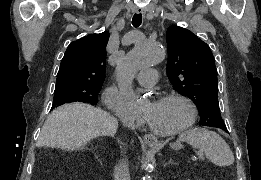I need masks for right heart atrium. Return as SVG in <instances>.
<instances>
[{"instance_id": "d8ad5b80", "label": "right heart atrium", "mask_w": 261, "mask_h": 180, "mask_svg": "<svg viewBox=\"0 0 261 180\" xmlns=\"http://www.w3.org/2000/svg\"><path fill=\"white\" fill-rule=\"evenodd\" d=\"M102 103L105 108H112L114 114H118V117H122V120H128V125L124 127H131L130 115L127 111L128 105L122 104V98H118V93L111 86L105 88L102 93Z\"/></svg>"}]
</instances>
